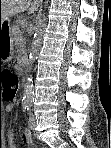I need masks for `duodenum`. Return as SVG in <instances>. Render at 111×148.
Returning a JSON list of instances; mask_svg holds the SVG:
<instances>
[{
	"label": "duodenum",
	"mask_w": 111,
	"mask_h": 148,
	"mask_svg": "<svg viewBox=\"0 0 111 148\" xmlns=\"http://www.w3.org/2000/svg\"><path fill=\"white\" fill-rule=\"evenodd\" d=\"M28 59L24 56H21L20 58V64L21 65H27Z\"/></svg>",
	"instance_id": "410a0bca"
}]
</instances>
